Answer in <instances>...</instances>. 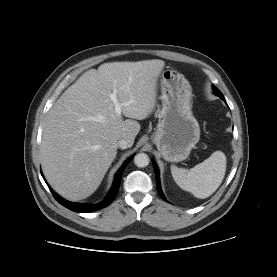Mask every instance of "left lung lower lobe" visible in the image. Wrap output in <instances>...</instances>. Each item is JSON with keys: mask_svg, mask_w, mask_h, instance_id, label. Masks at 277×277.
I'll return each instance as SVG.
<instances>
[{"mask_svg": "<svg viewBox=\"0 0 277 277\" xmlns=\"http://www.w3.org/2000/svg\"><path fill=\"white\" fill-rule=\"evenodd\" d=\"M153 166H154V169H155V177H156V187H157V191H158L159 195L161 196V198H162L163 200L167 201L166 198H165L164 195H163L162 190H161L160 179H159V170H158V168H157V166H156L155 163H153Z\"/></svg>", "mask_w": 277, "mask_h": 277, "instance_id": "obj_1", "label": "left lung lower lobe"}]
</instances>
